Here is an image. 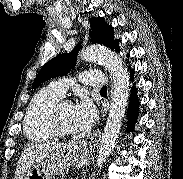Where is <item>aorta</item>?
<instances>
[{
  "label": "aorta",
  "mask_w": 183,
  "mask_h": 179,
  "mask_svg": "<svg viewBox=\"0 0 183 179\" xmlns=\"http://www.w3.org/2000/svg\"><path fill=\"white\" fill-rule=\"evenodd\" d=\"M80 57L84 61L101 62L113 77L111 106L97 158L101 167L112 153L120 133L129 96V75L120 56L107 48L89 46L82 50Z\"/></svg>",
  "instance_id": "aorta-1"
}]
</instances>
